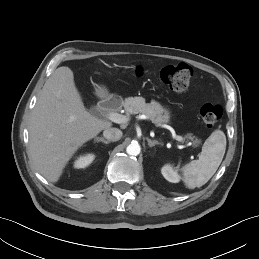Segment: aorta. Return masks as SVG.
<instances>
[{"label":"aorta","mask_w":259,"mask_h":259,"mask_svg":"<svg viewBox=\"0 0 259 259\" xmlns=\"http://www.w3.org/2000/svg\"><path fill=\"white\" fill-rule=\"evenodd\" d=\"M140 150H141V148L138 143H131L126 148L127 154L132 155V156H137L140 153Z\"/></svg>","instance_id":"762f6f07"}]
</instances>
